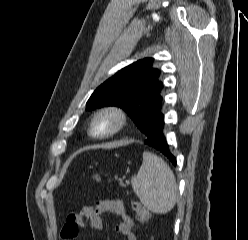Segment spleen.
I'll return each mask as SVG.
<instances>
[{"label":"spleen","mask_w":248,"mask_h":240,"mask_svg":"<svg viewBox=\"0 0 248 240\" xmlns=\"http://www.w3.org/2000/svg\"><path fill=\"white\" fill-rule=\"evenodd\" d=\"M131 185L140 201L156 214H166L173 209L178 195V186L173 171L157 155L145 151L143 163Z\"/></svg>","instance_id":"spleen-1"}]
</instances>
